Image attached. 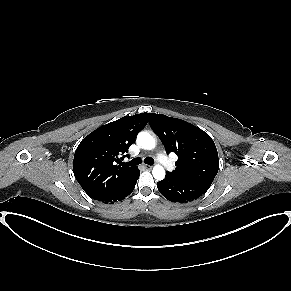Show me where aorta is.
I'll return each instance as SVG.
<instances>
[{"label":"aorta","instance_id":"obj_1","mask_svg":"<svg viewBox=\"0 0 291 291\" xmlns=\"http://www.w3.org/2000/svg\"><path fill=\"white\" fill-rule=\"evenodd\" d=\"M137 143L146 150H151L155 147L153 136L147 132H140L138 134ZM152 174L156 180H163L165 178V170L161 165L154 166Z\"/></svg>","mask_w":291,"mask_h":291}]
</instances>
